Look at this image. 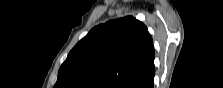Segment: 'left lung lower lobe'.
<instances>
[{
	"mask_svg": "<svg viewBox=\"0 0 223 88\" xmlns=\"http://www.w3.org/2000/svg\"><path fill=\"white\" fill-rule=\"evenodd\" d=\"M155 69L138 81L132 88H153Z\"/></svg>",
	"mask_w": 223,
	"mask_h": 88,
	"instance_id": "0a47b994",
	"label": "left lung lower lobe"
}]
</instances>
